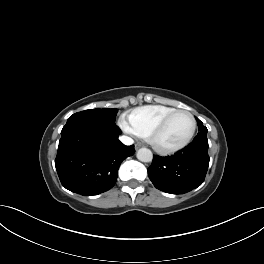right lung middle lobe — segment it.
<instances>
[{
    "mask_svg": "<svg viewBox=\"0 0 264 264\" xmlns=\"http://www.w3.org/2000/svg\"><path fill=\"white\" fill-rule=\"evenodd\" d=\"M117 109H89L73 114L67 122L85 120L100 124L115 125V115Z\"/></svg>",
    "mask_w": 264,
    "mask_h": 264,
    "instance_id": "1",
    "label": "right lung middle lobe"
}]
</instances>
